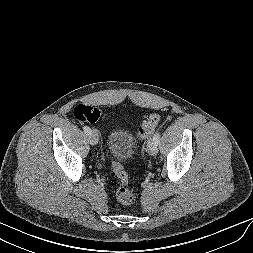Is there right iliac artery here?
I'll return each mask as SVG.
<instances>
[{"label": "right iliac artery", "mask_w": 253, "mask_h": 253, "mask_svg": "<svg viewBox=\"0 0 253 253\" xmlns=\"http://www.w3.org/2000/svg\"><path fill=\"white\" fill-rule=\"evenodd\" d=\"M84 132L89 135L91 133V129L88 126L83 127Z\"/></svg>", "instance_id": "right-iliac-artery-1"}]
</instances>
